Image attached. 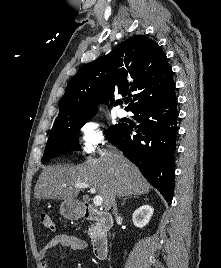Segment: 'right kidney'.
Wrapping results in <instances>:
<instances>
[{
    "label": "right kidney",
    "mask_w": 221,
    "mask_h": 268,
    "mask_svg": "<svg viewBox=\"0 0 221 268\" xmlns=\"http://www.w3.org/2000/svg\"><path fill=\"white\" fill-rule=\"evenodd\" d=\"M154 209L150 205H142L136 209L132 215L133 223L136 227L143 228L152 217Z\"/></svg>",
    "instance_id": "ca27d5eb"
}]
</instances>
